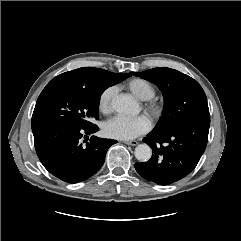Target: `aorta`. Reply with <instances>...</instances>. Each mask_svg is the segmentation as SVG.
<instances>
[{"label": "aorta", "instance_id": "aorta-1", "mask_svg": "<svg viewBox=\"0 0 241 241\" xmlns=\"http://www.w3.org/2000/svg\"><path fill=\"white\" fill-rule=\"evenodd\" d=\"M111 105L119 114L135 115L139 112L137 103L128 96L114 98ZM134 155L138 161L146 162L151 158L152 150L147 144H140L135 148Z\"/></svg>", "mask_w": 241, "mask_h": 241}]
</instances>
